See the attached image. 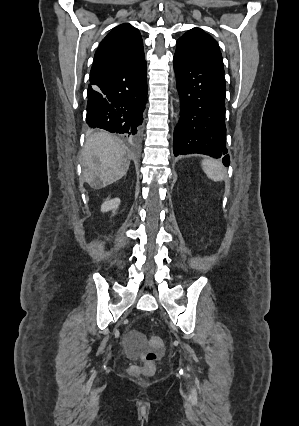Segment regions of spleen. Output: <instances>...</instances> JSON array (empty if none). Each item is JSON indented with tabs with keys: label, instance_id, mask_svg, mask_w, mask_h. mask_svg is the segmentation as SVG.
I'll return each instance as SVG.
<instances>
[{
	"label": "spleen",
	"instance_id": "3e777b00",
	"mask_svg": "<svg viewBox=\"0 0 299 426\" xmlns=\"http://www.w3.org/2000/svg\"><path fill=\"white\" fill-rule=\"evenodd\" d=\"M201 165L203 171L211 180L222 181L224 179L225 173L220 162L214 159L207 158L202 161Z\"/></svg>",
	"mask_w": 299,
	"mask_h": 426
}]
</instances>
